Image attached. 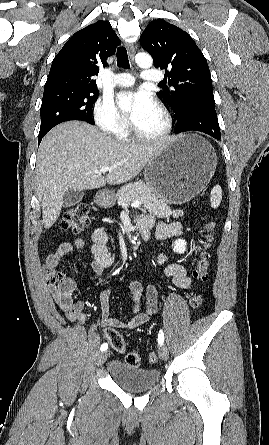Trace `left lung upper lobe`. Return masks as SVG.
Listing matches in <instances>:
<instances>
[{"mask_svg":"<svg viewBox=\"0 0 269 445\" xmlns=\"http://www.w3.org/2000/svg\"><path fill=\"white\" fill-rule=\"evenodd\" d=\"M156 68L165 69L168 83L158 95L175 112L177 123L193 106H215L207 61L188 33L163 19L151 21L140 36Z\"/></svg>","mask_w":269,"mask_h":445,"instance_id":"5c2ea615","label":"left lung upper lobe"}]
</instances>
